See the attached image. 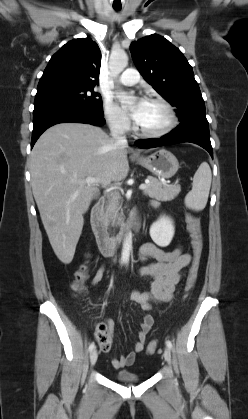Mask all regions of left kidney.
<instances>
[{
  "mask_svg": "<svg viewBox=\"0 0 248 419\" xmlns=\"http://www.w3.org/2000/svg\"><path fill=\"white\" fill-rule=\"evenodd\" d=\"M174 232V224L169 217H160L150 227V236L160 247H166L170 244L174 236Z\"/></svg>",
  "mask_w": 248,
  "mask_h": 419,
  "instance_id": "1",
  "label": "left kidney"
}]
</instances>
